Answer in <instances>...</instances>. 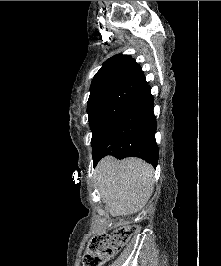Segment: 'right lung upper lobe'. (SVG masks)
I'll return each instance as SVG.
<instances>
[{
  "mask_svg": "<svg viewBox=\"0 0 221 266\" xmlns=\"http://www.w3.org/2000/svg\"><path fill=\"white\" fill-rule=\"evenodd\" d=\"M147 81L142 69L129 55L117 54L106 60L95 74L91 93L119 86H140L144 88Z\"/></svg>",
  "mask_w": 221,
  "mask_h": 266,
  "instance_id": "obj_1",
  "label": "right lung upper lobe"
}]
</instances>
